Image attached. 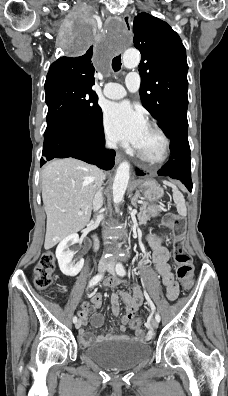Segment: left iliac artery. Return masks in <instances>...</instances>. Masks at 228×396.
Wrapping results in <instances>:
<instances>
[{
	"label": "left iliac artery",
	"mask_w": 228,
	"mask_h": 396,
	"mask_svg": "<svg viewBox=\"0 0 228 396\" xmlns=\"http://www.w3.org/2000/svg\"><path fill=\"white\" fill-rule=\"evenodd\" d=\"M116 272H117V274H118L119 276H124V275H126V270H125L124 266H123L121 263H118V264L116 265ZM155 319H156L158 322H160L161 317H160L159 313L156 314Z\"/></svg>",
	"instance_id": "44dca946"
}]
</instances>
